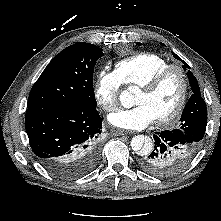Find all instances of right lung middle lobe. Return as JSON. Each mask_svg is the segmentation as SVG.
<instances>
[{
	"mask_svg": "<svg viewBox=\"0 0 221 221\" xmlns=\"http://www.w3.org/2000/svg\"><path fill=\"white\" fill-rule=\"evenodd\" d=\"M103 55L101 48L84 42L65 48L32 87L27 107L96 108L93 72Z\"/></svg>",
	"mask_w": 221,
	"mask_h": 221,
	"instance_id": "obj_1",
	"label": "right lung middle lobe"
}]
</instances>
